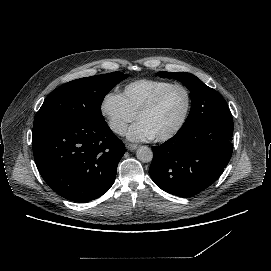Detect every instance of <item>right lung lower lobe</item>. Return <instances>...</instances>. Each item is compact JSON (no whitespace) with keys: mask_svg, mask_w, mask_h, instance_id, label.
I'll return each instance as SVG.
<instances>
[{"mask_svg":"<svg viewBox=\"0 0 271 271\" xmlns=\"http://www.w3.org/2000/svg\"><path fill=\"white\" fill-rule=\"evenodd\" d=\"M32 147L45 182L60 196L88 202L113 185L125 146L104 120L47 119L34 124Z\"/></svg>","mask_w":271,"mask_h":271,"instance_id":"obj_1","label":"right lung lower lobe"}]
</instances>
